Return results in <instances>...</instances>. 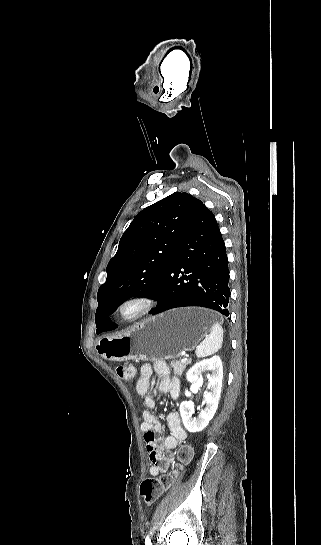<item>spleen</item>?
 Returning a JSON list of instances; mask_svg holds the SVG:
<instances>
[{"instance_id":"3e777b00","label":"spleen","mask_w":321,"mask_h":545,"mask_svg":"<svg viewBox=\"0 0 321 545\" xmlns=\"http://www.w3.org/2000/svg\"><path fill=\"white\" fill-rule=\"evenodd\" d=\"M224 331L220 323H213L210 335L196 349V357H210L222 347Z\"/></svg>"}]
</instances>
